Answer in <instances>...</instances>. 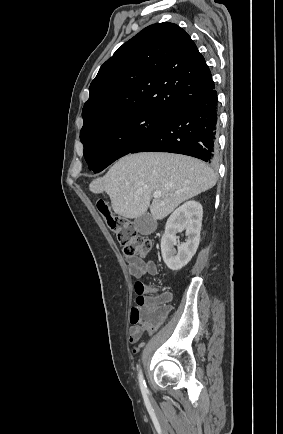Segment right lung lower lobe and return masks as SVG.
<instances>
[{"mask_svg":"<svg viewBox=\"0 0 283 434\" xmlns=\"http://www.w3.org/2000/svg\"><path fill=\"white\" fill-rule=\"evenodd\" d=\"M217 128V94L213 88L171 114L130 153L170 152L212 162L216 159Z\"/></svg>","mask_w":283,"mask_h":434,"instance_id":"obj_1","label":"right lung lower lobe"}]
</instances>
